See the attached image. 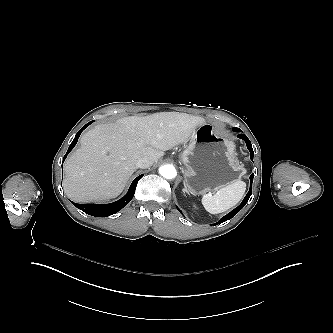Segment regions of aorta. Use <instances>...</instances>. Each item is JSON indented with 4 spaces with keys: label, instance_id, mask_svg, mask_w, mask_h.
<instances>
[{
    "label": "aorta",
    "instance_id": "obj_1",
    "mask_svg": "<svg viewBox=\"0 0 333 333\" xmlns=\"http://www.w3.org/2000/svg\"><path fill=\"white\" fill-rule=\"evenodd\" d=\"M159 173L166 179H174L177 176V171L172 165H163L159 168Z\"/></svg>",
    "mask_w": 333,
    "mask_h": 333
}]
</instances>
